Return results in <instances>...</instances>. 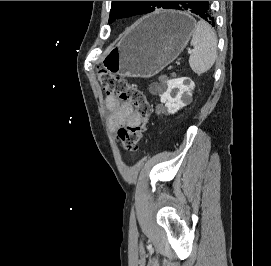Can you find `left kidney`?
I'll list each match as a JSON object with an SVG mask.
<instances>
[{"label":"left kidney","mask_w":271,"mask_h":266,"mask_svg":"<svg viewBox=\"0 0 271 266\" xmlns=\"http://www.w3.org/2000/svg\"><path fill=\"white\" fill-rule=\"evenodd\" d=\"M186 78L172 79L167 84V90L161 95V102L165 103L169 113L174 114L182 107L186 106L183 98L189 95L191 82L187 81ZM177 89L178 92L172 96V90Z\"/></svg>","instance_id":"obj_1"}]
</instances>
